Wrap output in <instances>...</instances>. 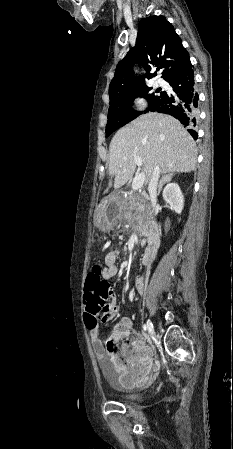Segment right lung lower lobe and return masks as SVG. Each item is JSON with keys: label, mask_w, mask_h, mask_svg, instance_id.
I'll return each instance as SVG.
<instances>
[{"label": "right lung lower lobe", "mask_w": 233, "mask_h": 449, "mask_svg": "<svg viewBox=\"0 0 233 449\" xmlns=\"http://www.w3.org/2000/svg\"><path fill=\"white\" fill-rule=\"evenodd\" d=\"M173 88V94H167L153 111L166 113L178 119L186 130L197 139L194 130L198 117V94L195 90L194 72L191 63L183 70L166 80Z\"/></svg>", "instance_id": "right-lung-lower-lobe-1"}]
</instances>
